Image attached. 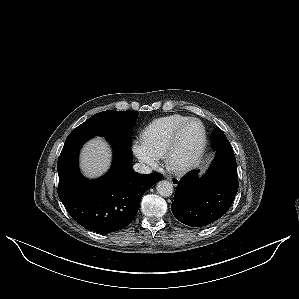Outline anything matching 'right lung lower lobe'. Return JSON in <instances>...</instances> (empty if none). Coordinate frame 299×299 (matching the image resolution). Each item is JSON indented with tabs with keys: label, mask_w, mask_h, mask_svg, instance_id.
<instances>
[{
	"label": "right lung lower lobe",
	"mask_w": 299,
	"mask_h": 299,
	"mask_svg": "<svg viewBox=\"0 0 299 299\" xmlns=\"http://www.w3.org/2000/svg\"><path fill=\"white\" fill-rule=\"evenodd\" d=\"M91 137L68 135L57 165L58 196L77 223L106 234L125 228L133 220L143 194L163 175L136 173L131 167V146L120 139H108L114 151L111 170L96 180L83 178L78 168V154Z\"/></svg>",
	"instance_id": "98d812e1"
}]
</instances>
